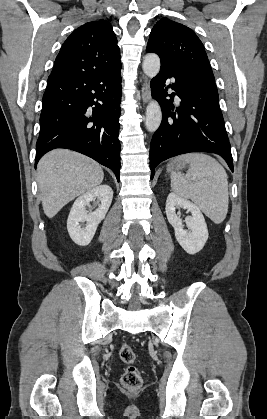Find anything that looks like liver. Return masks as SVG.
Segmentation results:
<instances>
[{
	"mask_svg": "<svg viewBox=\"0 0 267 419\" xmlns=\"http://www.w3.org/2000/svg\"><path fill=\"white\" fill-rule=\"evenodd\" d=\"M104 172L94 160L77 152L56 149L37 166L44 213L53 218L67 203L102 183Z\"/></svg>",
	"mask_w": 267,
	"mask_h": 419,
	"instance_id": "liver-1",
	"label": "liver"
}]
</instances>
